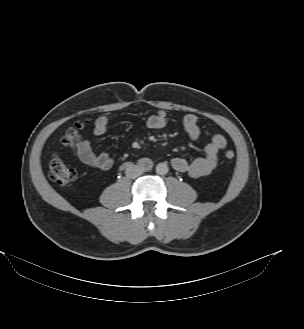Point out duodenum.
Returning <instances> with one entry per match:
<instances>
[{"instance_id":"1","label":"duodenum","mask_w":304,"mask_h":329,"mask_svg":"<svg viewBox=\"0 0 304 329\" xmlns=\"http://www.w3.org/2000/svg\"><path fill=\"white\" fill-rule=\"evenodd\" d=\"M126 167H130V165H126Z\"/></svg>"}]
</instances>
